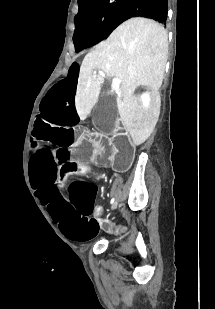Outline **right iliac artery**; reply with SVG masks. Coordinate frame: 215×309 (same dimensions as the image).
<instances>
[{"mask_svg": "<svg viewBox=\"0 0 215 309\" xmlns=\"http://www.w3.org/2000/svg\"><path fill=\"white\" fill-rule=\"evenodd\" d=\"M110 203L113 205L114 204V198L111 199Z\"/></svg>", "mask_w": 215, "mask_h": 309, "instance_id": "obj_1", "label": "right iliac artery"}]
</instances>
